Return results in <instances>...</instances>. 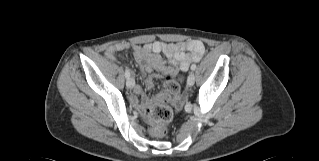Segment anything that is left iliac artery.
<instances>
[{
    "mask_svg": "<svg viewBox=\"0 0 319 161\" xmlns=\"http://www.w3.org/2000/svg\"><path fill=\"white\" fill-rule=\"evenodd\" d=\"M195 69H196V64H193V65L191 66V70L194 71Z\"/></svg>",
    "mask_w": 319,
    "mask_h": 161,
    "instance_id": "44dca946",
    "label": "left iliac artery"
}]
</instances>
